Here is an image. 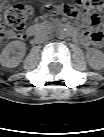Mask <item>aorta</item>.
I'll return each instance as SVG.
<instances>
[{"instance_id": "aorta-1", "label": "aorta", "mask_w": 104, "mask_h": 137, "mask_svg": "<svg viewBox=\"0 0 104 137\" xmlns=\"http://www.w3.org/2000/svg\"><path fill=\"white\" fill-rule=\"evenodd\" d=\"M57 36L60 38L64 37V32H59Z\"/></svg>"}]
</instances>
